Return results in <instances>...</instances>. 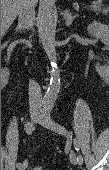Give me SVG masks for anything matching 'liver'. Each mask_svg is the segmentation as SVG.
I'll return each instance as SVG.
<instances>
[{
    "instance_id": "6515ba94",
    "label": "liver",
    "mask_w": 109,
    "mask_h": 170,
    "mask_svg": "<svg viewBox=\"0 0 109 170\" xmlns=\"http://www.w3.org/2000/svg\"><path fill=\"white\" fill-rule=\"evenodd\" d=\"M21 0H1V31H5L11 26L16 19L20 10ZM38 0H33L36 5Z\"/></svg>"
}]
</instances>
